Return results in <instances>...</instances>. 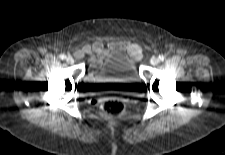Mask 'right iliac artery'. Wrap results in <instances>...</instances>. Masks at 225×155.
Instances as JSON below:
<instances>
[{
  "label": "right iliac artery",
  "instance_id": "1",
  "mask_svg": "<svg viewBox=\"0 0 225 155\" xmlns=\"http://www.w3.org/2000/svg\"><path fill=\"white\" fill-rule=\"evenodd\" d=\"M60 59H61V60H65V59H66V55H65V54H61V55H60Z\"/></svg>",
  "mask_w": 225,
  "mask_h": 155
}]
</instances>
